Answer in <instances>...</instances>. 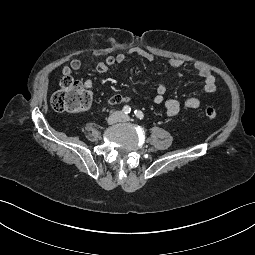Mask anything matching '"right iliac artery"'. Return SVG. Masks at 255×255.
Instances as JSON below:
<instances>
[{
	"instance_id": "right-iliac-artery-1",
	"label": "right iliac artery",
	"mask_w": 255,
	"mask_h": 255,
	"mask_svg": "<svg viewBox=\"0 0 255 255\" xmlns=\"http://www.w3.org/2000/svg\"><path fill=\"white\" fill-rule=\"evenodd\" d=\"M123 112L125 113V114H128V113H130L131 112V108L129 107V106H124L123 107Z\"/></svg>"
}]
</instances>
